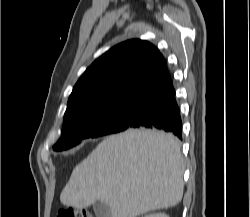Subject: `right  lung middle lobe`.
I'll return each instance as SVG.
<instances>
[{"label": "right lung middle lobe", "mask_w": 250, "mask_h": 217, "mask_svg": "<svg viewBox=\"0 0 250 217\" xmlns=\"http://www.w3.org/2000/svg\"><path fill=\"white\" fill-rule=\"evenodd\" d=\"M139 101L118 103L81 113L63 121L62 137L53 146L56 151L76 146L82 139L96 138L126 130Z\"/></svg>", "instance_id": "dd1d6c3e"}]
</instances>
